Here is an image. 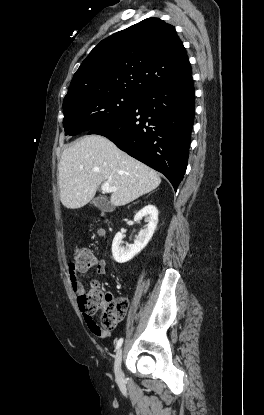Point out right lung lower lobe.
<instances>
[{
	"label": "right lung lower lobe",
	"instance_id": "1",
	"mask_svg": "<svg viewBox=\"0 0 264 415\" xmlns=\"http://www.w3.org/2000/svg\"><path fill=\"white\" fill-rule=\"evenodd\" d=\"M195 93L191 74L149 89L135 106L87 134L107 137L130 156L164 174L177 189L185 174Z\"/></svg>",
	"mask_w": 264,
	"mask_h": 415
}]
</instances>
